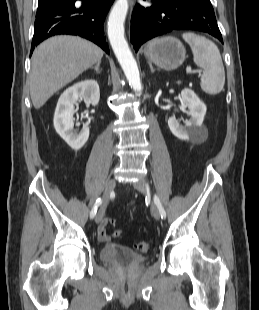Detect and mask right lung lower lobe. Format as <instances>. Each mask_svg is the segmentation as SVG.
Masks as SVG:
<instances>
[{
    "label": "right lung lower lobe",
    "mask_w": 259,
    "mask_h": 310,
    "mask_svg": "<svg viewBox=\"0 0 259 310\" xmlns=\"http://www.w3.org/2000/svg\"><path fill=\"white\" fill-rule=\"evenodd\" d=\"M76 1L67 0L66 3L37 9L30 56L39 43L57 34L79 35L109 54L103 23L114 0H82L81 8L75 7Z\"/></svg>",
    "instance_id": "1"
}]
</instances>
